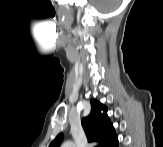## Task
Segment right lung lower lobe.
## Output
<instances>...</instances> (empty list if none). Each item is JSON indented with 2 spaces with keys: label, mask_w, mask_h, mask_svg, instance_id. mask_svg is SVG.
<instances>
[{
  "label": "right lung lower lobe",
  "mask_w": 163,
  "mask_h": 147,
  "mask_svg": "<svg viewBox=\"0 0 163 147\" xmlns=\"http://www.w3.org/2000/svg\"><path fill=\"white\" fill-rule=\"evenodd\" d=\"M119 142H118V138H116L108 147H118Z\"/></svg>",
  "instance_id": "1"
}]
</instances>
